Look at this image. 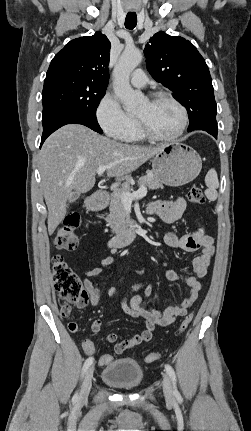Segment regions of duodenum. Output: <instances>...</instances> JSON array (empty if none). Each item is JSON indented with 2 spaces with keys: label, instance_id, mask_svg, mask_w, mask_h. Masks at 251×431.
Here are the masks:
<instances>
[{
  "label": "duodenum",
  "instance_id": "410a0bca",
  "mask_svg": "<svg viewBox=\"0 0 251 431\" xmlns=\"http://www.w3.org/2000/svg\"><path fill=\"white\" fill-rule=\"evenodd\" d=\"M101 204L99 196H93L88 201V206L92 210H96ZM138 225L127 227L120 231L117 235L110 239L108 245L112 248H120L131 243L137 234Z\"/></svg>",
  "mask_w": 251,
  "mask_h": 431
}]
</instances>
